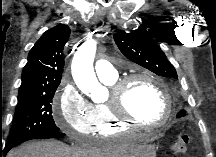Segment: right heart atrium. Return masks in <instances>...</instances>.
<instances>
[{"label": "right heart atrium", "mask_w": 216, "mask_h": 157, "mask_svg": "<svg viewBox=\"0 0 216 157\" xmlns=\"http://www.w3.org/2000/svg\"><path fill=\"white\" fill-rule=\"evenodd\" d=\"M56 124L69 136L95 133L96 115L93 105L71 83H62L54 101Z\"/></svg>", "instance_id": "obj_1"}]
</instances>
